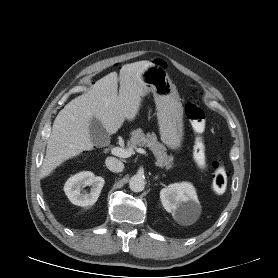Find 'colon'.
<instances>
[{
  "instance_id": "colon-1",
  "label": "colon",
  "mask_w": 278,
  "mask_h": 278,
  "mask_svg": "<svg viewBox=\"0 0 278 278\" xmlns=\"http://www.w3.org/2000/svg\"><path fill=\"white\" fill-rule=\"evenodd\" d=\"M185 114L189 119L195 133L194 157L198 162L205 160V141L203 133L206 129V114L200 102L195 98H190L185 105ZM227 187V171L222 159L213 162V174L211 189L216 195H221Z\"/></svg>"
}]
</instances>
